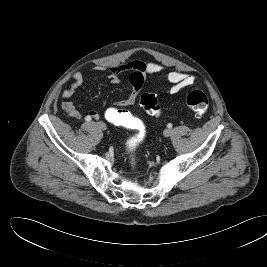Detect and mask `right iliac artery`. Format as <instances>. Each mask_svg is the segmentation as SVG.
Returning a JSON list of instances; mask_svg holds the SVG:
<instances>
[{
    "label": "right iliac artery",
    "mask_w": 267,
    "mask_h": 267,
    "mask_svg": "<svg viewBox=\"0 0 267 267\" xmlns=\"http://www.w3.org/2000/svg\"><path fill=\"white\" fill-rule=\"evenodd\" d=\"M86 120H87V121H90V120H91V118H86Z\"/></svg>",
    "instance_id": "right-iliac-artery-1"
}]
</instances>
